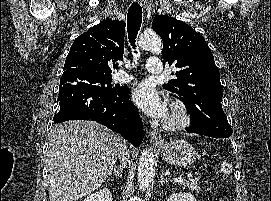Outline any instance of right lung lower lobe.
Segmentation results:
<instances>
[{
    "mask_svg": "<svg viewBox=\"0 0 271 201\" xmlns=\"http://www.w3.org/2000/svg\"><path fill=\"white\" fill-rule=\"evenodd\" d=\"M129 88L113 92L82 89L67 83L60 87L57 103L60 111L54 122L91 120L123 134L134 146L141 144L144 131L137 108L129 101Z\"/></svg>",
    "mask_w": 271,
    "mask_h": 201,
    "instance_id": "obj_1",
    "label": "right lung lower lobe"
}]
</instances>
